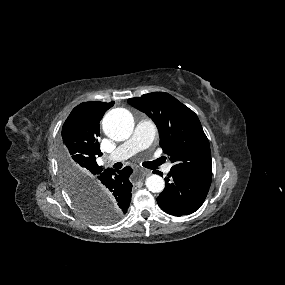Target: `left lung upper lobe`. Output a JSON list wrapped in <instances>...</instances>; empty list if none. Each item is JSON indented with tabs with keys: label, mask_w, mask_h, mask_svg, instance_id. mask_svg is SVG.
<instances>
[{
	"label": "left lung upper lobe",
	"mask_w": 285,
	"mask_h": 285,
	"mask_svg": "<svg viewBox=\"0 0 285 285\" xmlns=\"http://www.w3.org/2000/svg\"><path fill=\"white\" fill-rule=\"evenodd\" d=\"M128 103L156 124L160 146L173 163L172 171L212 178L210 145L197 115L165 92L144 94Z\"/></svg>",
	"instance_id": "1"
}]
</instances>
